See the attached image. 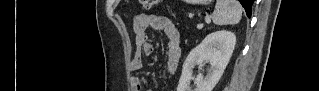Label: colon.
<instances>
[{"label": "colon", "instance_id": "5ec220e1", "mask_svg": "<svg viewBox=\"0 0 319 91\" xmlns=\"http://www.w3.org/2000/svg\"><path fill=\"white\" fill-rule=\"evenodd\" d=\"M142 2H143V5L145 8H151V7L159 4L161 1H159V0H144Z\"/></svg>", "mask_w": 319, "mask_h": 91}]
</instances>
